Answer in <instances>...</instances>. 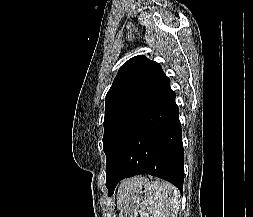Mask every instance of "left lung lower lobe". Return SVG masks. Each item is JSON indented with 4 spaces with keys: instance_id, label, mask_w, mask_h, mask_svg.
<instances>
[{
    "instance_id": "left-lung-lower-lobe-1",
    "label": "left lung lower lobe",
    "mask_w": 253,
    "mask_h": 217,
    "mask_svg": "<svg viewBox=\"0 0 253 217\" xmlns=\"http://www.w3.org/2000/svg\"><path fill=\"white\" fill-rule=\"evenodd\" d=\"M178 114L170 89L132 124L118 146L106 181L109 195L122 179L144 173L165 179L182 192L184 153Z\"/></svg>"
}]
</instances>
